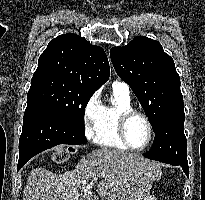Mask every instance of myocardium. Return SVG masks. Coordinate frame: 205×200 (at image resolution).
I'll return each mask as SVG.
<instances>
[{
    "label": "myocardium",
    "mask_w": 205,
    "mask_h": 200,
    "mask_svg": "<svg viewBox=\"0 0 205 200\" xmlns=\"http://www.w3.org/2000/svg\"><path fill=\"white\" fill-rule=\"evenodd\" d=\"M136 116L141 117L146 122L147 127H148V132H149L148 139H147L146 143L140 147L132 146L129 143L128 138H127V125L129 123V121L133 117H136ZM117 131H118V135H119L121 141L123 142V144L128 149L133 150V151H142V150L146 149L151 144V142L153 140V134H154L153 125H152L149 117L146 114H144L143 112H140V111L135 110V109L126 110V111H123L119 114L118 120H117Z\"/></svg>",
    "instance_id": "f54148a6"
}]
</instances>
